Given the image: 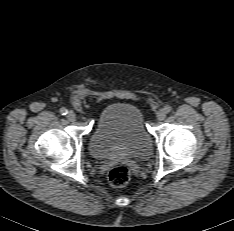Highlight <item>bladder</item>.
<instances>
[{"mask_svg":"<svg viewBox=\"0 0 234 231\" xmlns=\"http://www.w3.org/2000/svg\"><path fill=\"white\" fill-rule=\"evenodd\" d=\"M89 147L96 159L128 157L147 159L152 152V136L144 123L140 107L130 102H115L99 117Z\"/></svg>","mask_w":234,"mask_h":231,"instance_id":"bladder-1","label":"bladder"}]
</instances>
